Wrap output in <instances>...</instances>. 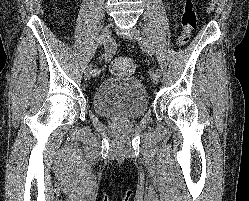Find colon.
Masks as SVG:
<instances>
[{
	"mask_svg": "<svg viewBox=\"0 0 249 201\" xmlns=\"http://www.w3.org/2000/svg\"><path fill=\"white\" fill-rule=\"evenodd\" d=\"M181 31L177 39L179 46L186 45L197 25V13L193 0H184L181 12ZM110 70L113 74L130 76L134 73L135 64L131 58L120 57L111 62Z\"/></svg>",
	"mask_w": 249,
	"mask_h": 201,
	"instance_id": "1",
	"label": "colon"
}]
</instances>
